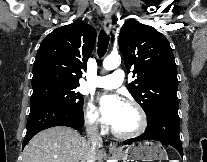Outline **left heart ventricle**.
I'll return each mask as SVG.
<instances>
[{
	"mask_svg": "<svg viewBox=\"0 0 207 162\" xmlns=\"http://www.w3.org/2000/svg\"><path fill=\"white\" fill-rule=\"evenodd\" d=\"M139 123L137 110L133 106L123 103L112 126L121 132H131L139 126Z\"/></svg>",
	"mask_w": 207,
	"mask_h": 162,
	"instance_id": "obj_1",
	"label": "left heart ventricle"
}]
</instances>
